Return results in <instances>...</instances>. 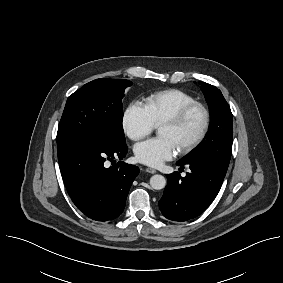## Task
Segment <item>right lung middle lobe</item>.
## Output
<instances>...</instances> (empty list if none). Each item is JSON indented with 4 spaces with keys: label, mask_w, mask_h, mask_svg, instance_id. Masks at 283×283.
Instances as JSON below:
<instances>
[{
    "label": "right lung middle lobe",
    "mask_w": 283,
    "mask_h": 283,
    "mask_svg": "<svg viewBox=\"0 0 283 283\" xmlns=\"http://www.w3.org/2000/svg\"><path fill=\"white\" fill-rule=\"evenodd\" d=\"M131 82L100 78L85 84L67 100L57 132V151L72 142L94 137L125 144L122 98Z\"/></svg>",
    "instance_id": "dd1d6c3e"
}]
</instances>
